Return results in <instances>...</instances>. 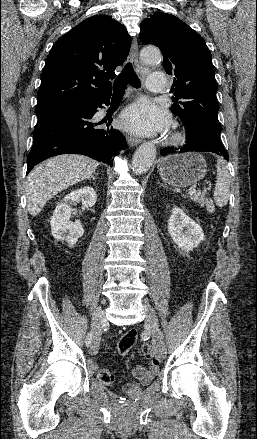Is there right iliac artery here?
Here are the masks:
<instances>
[{"label": "right iliac artery", "mask_w": 257, "mask_h": 439, "mask_svg": "<svg viewBox=\"0 0 257 439\" xmlns=\"http://www.w3.org/2000/svg\"><path fill=\"white\" fill-rule=\"evenodd\" d=\"M92 339V332L88 333L86 337V346L88 347Z\"/></svg>", "instance_id": "right-iliac-artery-1"}]
</instances>
